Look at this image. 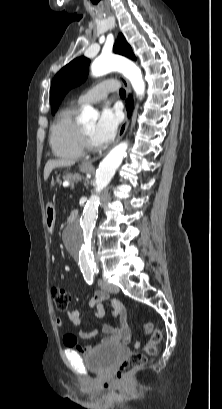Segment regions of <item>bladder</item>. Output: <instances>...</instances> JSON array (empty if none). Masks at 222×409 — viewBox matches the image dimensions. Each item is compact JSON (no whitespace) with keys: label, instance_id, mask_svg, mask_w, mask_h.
<instances>
[{"label":"bladder","instance_id":"31cf9c89","mask_svg":"<svg viewBox=\"0 0 222 409\" xmlns=\"http://www.w3.org/2000/svg\"><path fill=\"white\" fill-rule=\"evenodd\" d=\"M121 354L122 350L118 344L98 345L84 356V362L91 371L107 375L112 371Z\"/></svg>","mask_w":222,"mask_h":409}]
</instances>
